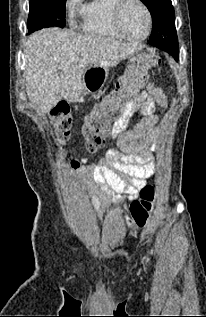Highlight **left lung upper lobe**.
<instances>
[{"instance_id": "obj_1", "label": "left lung upper lobe", "mask_w": 206, "mask_h": 317, "mask_svg": "<svg viewBox=\"0 0 206 317\" xmlns=\"http://www.w3.org/2000/svg\"><path fill=\"white\" fill-rule=\"evenodd\" d=\"M153 18L149 43L153 46L172 43L178 45L175 14L171 0H141Z\"/></svg>"}]
</instances>
